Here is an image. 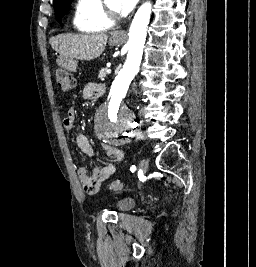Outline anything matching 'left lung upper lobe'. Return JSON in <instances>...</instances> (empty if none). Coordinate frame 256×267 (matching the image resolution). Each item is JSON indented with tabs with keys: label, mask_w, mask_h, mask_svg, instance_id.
<instances>
[{
	"label": "left lung upper lobe",
	"mask_w": 256,
	"mask_h": 267,
	"mask_svg": "<svg viewBox=\"0 0 256 267\" xmlns=\"http://www.w3.org/2000/svg\"><path fill=\"white\" fill-rule=\"evenodd\" d=\"M72 0H54V10L57 21L69 11Z\"/></svg>",
	"instance_id": "5c2ea615"
}]
</instances>
